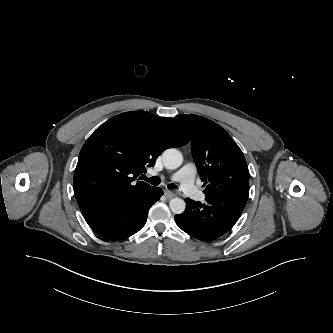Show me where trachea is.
I'll return each instance as SVG.
<instances>
[{
  "instance_id": "1",
  "label": "trachea",
  "mask_w": 333,
  "mask_h": 333,
  "mask_svg": "<svg viewBox=\"0 0 333 333\" xmlns=\"http://www.w3.org/2000/svg\"><path fill=\"white\" fill-rule=\"evenodd\" d=\"M143 179L154 186H157L161 183V179L158 176H153L151 178H147L146 176H144ZM168 188L169 189H178V187L173 183L168 184Z\"/></svg>"
}]
</instances>
